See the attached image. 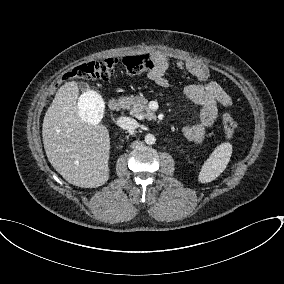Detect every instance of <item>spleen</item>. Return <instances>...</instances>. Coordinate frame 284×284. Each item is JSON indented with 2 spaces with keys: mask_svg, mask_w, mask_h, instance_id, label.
I'll use <instances>...</instances> for the list:
<instances>
[{
  "mask_svg": "<svg viewBox=\"0 0 284 284\" xmlns=\"http://www.w3.org/2000/svg\"><path fill=\"white\" fill-rule=\"evenodd\" d=\"M232 154L229 142L220 144L204 162L198 176L201 183H208L216 179L227 167Z\"/></svg>",
  "mask_w": 284,
  "mask_h": 284,
  "instance_id": "1",
  "label": "spleen"
}]
</instances>
